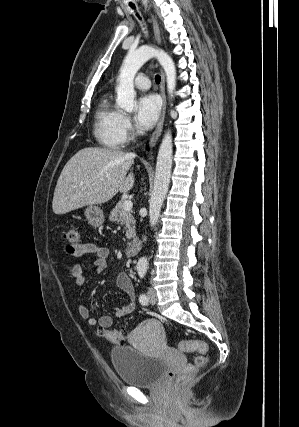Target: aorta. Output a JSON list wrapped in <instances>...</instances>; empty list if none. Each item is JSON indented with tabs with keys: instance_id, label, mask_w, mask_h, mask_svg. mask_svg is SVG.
Here are the masks:
<instances>
[{
	"instance_id": "aorta-1",
	"label": "aorta",
	"mask_w": 299,
	"mask_h": 427,
	"mask_svg": "<svg viewBox=\"0 0 299 427\" xmlns=\"http://www.w3.org/2000/svg\"><path fill=\"white\" fill-rule=\"evenodd\" d=\"M156 57L163 67L166 74L167 90L170 97L176 87V68L172 58L163 50L155 49L150 46H141L137 50L129 51L120 68L118 85L116 88V103L119 108L132 112L136 106L134 77L142 65L149 59ZM172 135L170 130L166 132L159 148L154 187L149 200V223L154 227L159 219L161 208L168 192L171 167H172ZM148 266L146 257H142L137 268L145 270Z\"/></svg>"
}]
</instances>
